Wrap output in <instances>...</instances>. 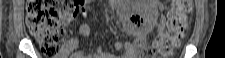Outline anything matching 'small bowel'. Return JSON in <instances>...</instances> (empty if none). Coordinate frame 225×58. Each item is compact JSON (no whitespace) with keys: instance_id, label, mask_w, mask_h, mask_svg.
I'll return each instance as SVG.
<instances>
[{"instance_id":"c3829d8e","label":"small bowel","mask_w":225,"mask_h":58,"mask_svg":"<svg viewBox=\"0 0 225 58\" xmlns=\"http://www.w3.org/2000/svg\"><path fill=\"white\" fill-rule=\"evenodd\" d=\"M155 4L160 6L158 1H155ZM151 29L152 28H149L142 33L132 30L134 33L138 34L137 38L133 42H115L113 45V51L121 52V55L118 57L105 53L100 48H98L95 53H85L82 51L74 52L79 44L78 39L74 38L66 42L59 58H136L137 49L145 44L146 32L150 31ZM78 32L82 37L88 36L90 33L88 24L82 23L78 28Z\"/></svg>"}]
</instances>
